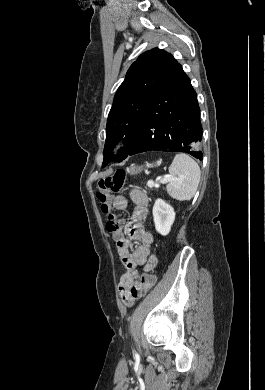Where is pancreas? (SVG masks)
Returning a JSON list of instances; mask_svg holds the SVG:
<instances>
[{"instance_id": "obj_1", "label": "pancreas", "mask_w": 265, "mask_h": 390, "mask_svg": "<svg viewBox=\"0 0 265 390\" xmlns=\"http://www.w3.org/2000/svg\"><path fill=\"white\" fill-rule=\"evenodd\" d=\"M148 185V188H152L153 186H151V185H149V184H147Z\"/></svg>"}]
</instances>
